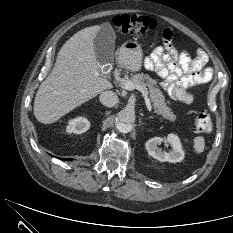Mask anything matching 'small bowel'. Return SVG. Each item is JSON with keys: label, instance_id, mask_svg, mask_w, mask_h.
Returning <instances> with one entry per match:
<instances>
[{"label": "small bowel", "instance_id": "1", "mask_svg": "<svg viewBox=\"0 0 233 233\" xmlns=\"http://www.w3.org/2000/svg\"><path fill=\"white\" fill-rule=\"evenodd\" d=\"M163 37L164 45L152 52L145 65L163 79L162 87L172 99L191 104L194 97L188 89L212 79L213 71L207 66L208 56L201 49L195 57L185 50H177L169 29L163 32Z\"/></svg>", "mask_w": 233, "mask_h": 233}]
</instances>
